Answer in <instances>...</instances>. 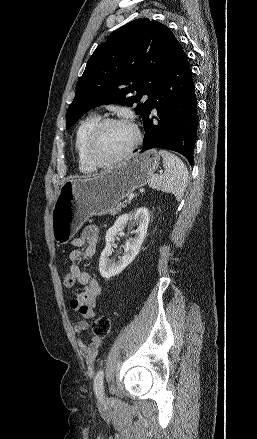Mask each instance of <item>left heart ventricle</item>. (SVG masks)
I'll list each match as a JSON object with an SVG mask.
<instances>
[{
  "label": "left heart ventricle",
  "instance_id": "left-heart-ventricle-1",
  "mask_svg": "<svg viewBox=\"0 0 257 439\" xmlns=\"http://www.w3.org/2000/svg\"><path fill=\"white\" fill-rule=\"evenodd\" d=\"M134 131L126 125L106 127L94 145V153L100 160H110L123 152L133 141Z\"/></svg>",
  "mask_w": 257,
  "mask_h": 439
}]
</instances>
